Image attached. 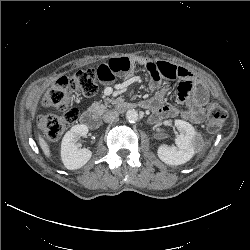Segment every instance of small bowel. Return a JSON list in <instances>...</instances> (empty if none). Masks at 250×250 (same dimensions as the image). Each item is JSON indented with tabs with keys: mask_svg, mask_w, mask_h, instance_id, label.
<instances>
[{
	"mask_svg": "<svg viewBox=\"0 0 250 250\" xmlns=\"http://www.w3.org/2000/svg\"><path fill=\"white\" fill-rule=\"evenodd\" d=\"M145 66L151 76L149 87L152 91L160 88L161 81L179 80L177 103L185 106L184 110L176 106L165 105L163 96L169 85H165L153 98L141 102L143 107L154 110L153 119L182 115L192 123H200L204 118V105L208 97L204 85L188 69L175 66L164 61L147 62ZM135 63L127 57L108 59L98 66V79L103 84H109L117 76L131 78L134 73Z\"/></svg>",
	"mask_w": 250,
	"mask_h": 250,
	"instance_id": "obj_1",
	"label": "small bowel"
}]
</instances>
